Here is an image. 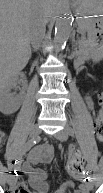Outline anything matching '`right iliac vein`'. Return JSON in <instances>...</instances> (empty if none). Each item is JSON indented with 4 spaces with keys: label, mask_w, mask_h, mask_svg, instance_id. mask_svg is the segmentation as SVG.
Segmentation results:
<instances>
[{
    "label": "right iliac vein",
    "mask_w": 103,
    "mask_h": 193,
    "mask_svg": "<svg viewBox=\"0 0 103 193\" xmlns=\"http://www.w3.org/2000/svg\"><path fill=\"white\" fill-rule=\"evenodd\" d=\"M40 132H41V130H40L39 126L35 125V126H33V128L31 129L30 136H31L32 138H35V137H37V136L40 134ZM14 181H15V175H14V174L9 175V177H8V183H9L10 185H12V184L14 183Z\"/></svg>",
    "instance_id": "1"
}]
</instances>
